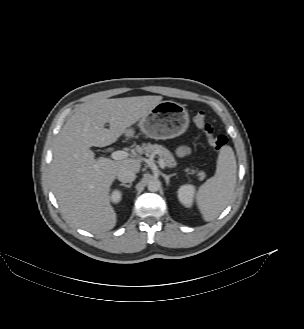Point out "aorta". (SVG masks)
I'll return each instance as SVG.
<instances>
[{"label": "aorta", "mask_w": 304, "mask_h": 329, "mask_svg": "<svg viewBox=\"0 0 304 329\" xmlns=\"http://www.w3.org/2000/svg\"><path fill=\"white\" fill-rule=\"evenodd\" d=\"M148 190L151 192H156L160 188V181L157 179H151L147 183Z\"/></svg>", "instance_id": "aorta-1"}]
</instances>
